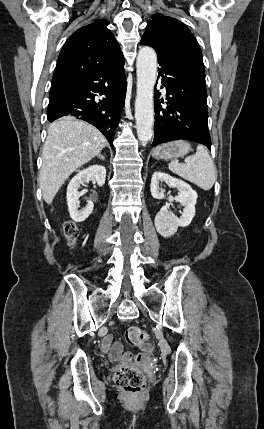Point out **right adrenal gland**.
<instances>
[{"label":"right adrenal gland","mask_w":264,"mask_h":429,"mask_svg":"<svg viewBox=\"0 0 264 429\" xmlns=\"http://www.w3.org/2000/svg\"><path fill=\"white\" fill-rule=\"evenodd\" d=\"M97 158H99V159H101V160H103V161L105 160L104 156H103V155H101V154H98V155H97Z\"/></svg>","instance_id":"right-adrenal-gland-1"}]
</instances>
